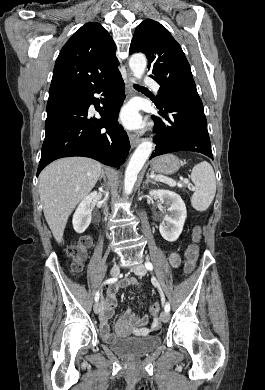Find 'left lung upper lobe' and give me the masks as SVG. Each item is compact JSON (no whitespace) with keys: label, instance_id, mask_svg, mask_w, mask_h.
I'll return each instance as SVG.
<instances>
[{"label":"left lung upper lobe","instance_id":"left-lung-upper-lobe-1","mask_svg":"<svg viewBox=\"0 0 265 390\" xmlns=\"http://www.w3.org/2000/svg\"><path fill=\"white\" fill-rule=\"evenodd\" d=\"M142 52L148 59V70L163 91L196 89L190 65L180 45L160 23L147 19L134 33L129 53Z\"/></svg>","mask_w":265,"mask_h":390}]
</instances>
